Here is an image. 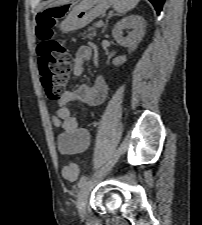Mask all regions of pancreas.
Instances as JSON below:
<instances>
[{"label":"pancreas","mask_w":202,"mask_h":225,"mask_svg":"<svg viewBox=\"0 0 202 225\" xmlns=\"http://www.w3.org/2000/svg\"><path fill=\"white\" fill-rule=\"evenodd\" d=\"M96 25H97V24H94L92 27H90V28L88 29V31L90 32V34H89L90 37L96 36Z\"/></svg>","instance_id":"pancreas-1"}]
</instances>
